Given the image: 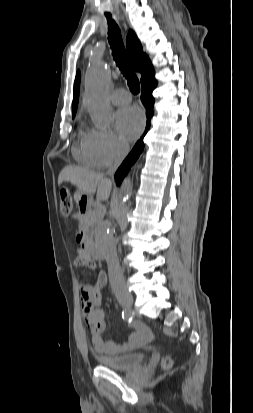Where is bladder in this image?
Here are the masks:
<instances>
[{
  "instance_id": "bladder-1",
  "label": "bladder",
  "mask_w": 253,
  "mask_h": 413,
  "mask_svg": "<svg viewBox=\"0 0 253 413\" xmlns=\"http://www.w3.org/2000/svg\"><path fill=\"white\" fill-rule=\"evenodd\" d=\"M96 359L101 366L114 370H127L140 366L144 355L142 353H127L116 356H99Z\"/></svg>"
}]
</instances>
